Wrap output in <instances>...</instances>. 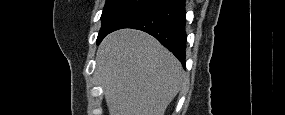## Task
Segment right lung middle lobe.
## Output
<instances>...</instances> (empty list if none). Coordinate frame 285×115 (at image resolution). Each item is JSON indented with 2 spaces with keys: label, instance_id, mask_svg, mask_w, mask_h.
<instances>
[{
  "label": "right lung middle lobe",
  "instance_id": "obj_1",
  "mask_svg": "<svg viewBox=\"0 0 285 115\" xmlns=\"http://www.w3.org/2000/svg\"><path fill=\"white\" fill-rule=\"evenodd\" d=\"M153 0H106L101 20L102 26L98 34L97 43L124 18L151 3Z\"/></svg>",
  "mask_w": 285,
  "mask_h": 115
}]
</instances>
